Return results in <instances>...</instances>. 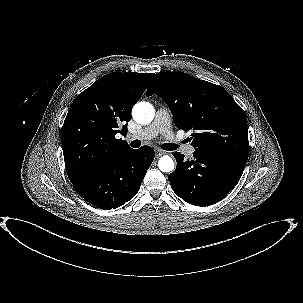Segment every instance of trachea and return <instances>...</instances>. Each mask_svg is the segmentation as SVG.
<instances>
[{"mask_svg":"<svg viewBox=\"0 0 303 303\" xmlns=\"http://www.w3.org/2000/svg\"><path fill=\"white\" fill-rule=\"evenodd\" d=\"M140 145H141V142L139 140H134L131 142V146L133 148H138ZM176 147L177 146L175 144H171V143H165L163 145V148L167 151H172V150L176 149Z\"/></svg>","mask_w":303,"mask_h":303,"instance_id":"obj_1","label":"trachea"}]
</instances>
